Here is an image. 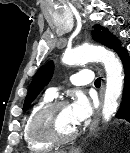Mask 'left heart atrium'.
<instances>
[{"mask_svg":"<svg viewBox=\"0 0 130 153\" xmlns=\"http://www.w3.org/2000/svg\"><path fill=\"white\" fill-rule=\"evenodd\" d=\"M69 109L73 123L78 126L91 117L94 106L87 96L79 93L69 105Z\"/></svg>","mask_w":130,"mask_h":153,"instance_id":"39dd6f15","label":"left heart atrium"}]
</instances>
